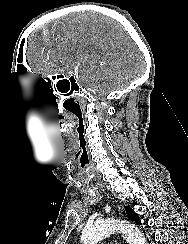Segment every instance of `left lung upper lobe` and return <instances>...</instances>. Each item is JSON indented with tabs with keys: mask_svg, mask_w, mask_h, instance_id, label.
<instances>
[{
	"mask_svg": "<svg viewBox=\"0 0 188 244\" xmlns=\"http://www.w3.org/2000/svg\"><path fill=\"white\" fill-rule=\"evenodd\" d=\"M125 210L130 220L135 221L136 223L140 221L138 215L131 209V207L125 206Z\"/></svg>",
	"mask_w": 188,
	"mask_h": 244,
	"instance_id": "1",
	"label": "left lung upper lobe"
}]
</instances>
